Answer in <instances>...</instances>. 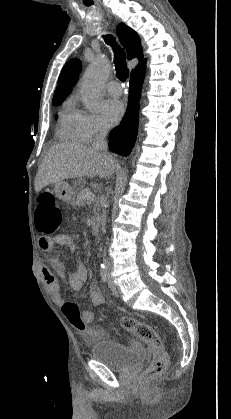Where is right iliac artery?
<instances>
[{
    "label": "right iliac artery",
    "instance_id": "1",
    "mask_svg": "<svg viewBox=\"0 0 231 419\" xmlns=\"http://www.w3.org/2000/svg\"><path fill=\"white\" fill-rule=\"evenodd\" d=\"M100 275H101V278H102L103 281L106 282L108 280L107 271H106L104 265H101Z\"/></svg>",
    "mask_w": 231,
    "mask_h": 419
}]
</instances>
